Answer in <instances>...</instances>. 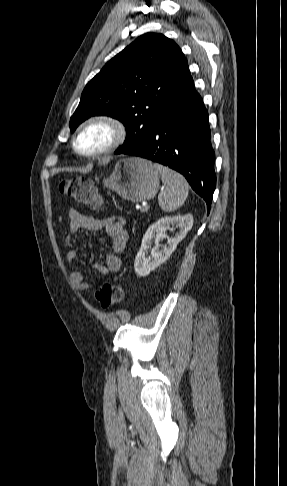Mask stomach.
Instances as JSON below:
<instances>
[{"mask_svg":"<svg viewBox=\"0 0 287 486\" xmlns=\"http://www.w3.org/2000/svg\"><path fill=\"white\" fill-rule=\"evenodd\" d=\"M159 180L156 164L139 157H127L116 163L112 174L103 183L123 199L141 202L156 195Z\"/></svg>","mask_w":287,"mask_h":486,"instance_id":"0dacf381","label":"stomach"}]
</instances>
